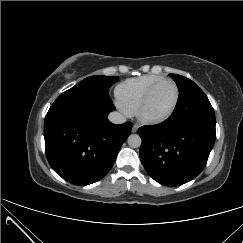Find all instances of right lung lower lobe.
I'll return each mask as SVG.
<instances>
[{
    "label": "right lung lower lobe",
    "mask_w": 243,
    "mask_h": 243,
    "mask_svg": "<svg viewBox=\"0 0 243 243\" xmlns=\"http://www.w3.org/2000/svg\"><path fill=\"white\" fill-rule=\"evenodd\" d=\"M114 109L108 93L82 85L51 105L44 121L46 156L64 180L84 186L109 172L133 126L111 123L107 117Z\"/></svg>",
    "instance_id": "1"
}]
</instances>
